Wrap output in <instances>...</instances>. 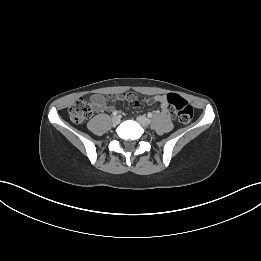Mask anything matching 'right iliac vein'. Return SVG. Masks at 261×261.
<instances>
[{
	"mask_svg": "<svg viewBox=\"0 0 261 261\" xmlns=\"http://www.w3.org/2000/svg\"><path fill=\"white\" fill-rule=\"evenodd\" d=\"M112 122H113V124L118 125L120 123V117L119 116H113Z\"/></svg>",
	"mask_w": 261,
	"mask_h": 261,
	"instance_id": "1",
	"label": "right iliac vein"
}]
</instances>
